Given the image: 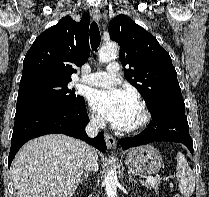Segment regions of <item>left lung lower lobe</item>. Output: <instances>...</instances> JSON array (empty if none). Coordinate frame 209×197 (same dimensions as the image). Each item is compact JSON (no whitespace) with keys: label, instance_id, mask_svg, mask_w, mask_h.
<instances>
[{"label":"left lung lower lobe","instance_id":"0a47b994","mask_svg":"<svg viewBox=\"0 0 209 197\" xmlns=\"http://www.w3.org/2000/svg\"><path fill=\"white\" fill-rule=\"evenodd\" d=\"M184 109L183 101L158 104L150 111L153 119L147 128L135 137L121 139V147L126 150L155 141H169L184 144L193 154V141Z\"/></svg>","mask_w":209,"mask_h":197}]
</instances>
